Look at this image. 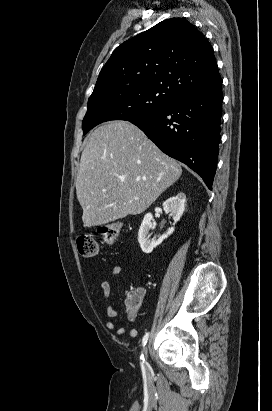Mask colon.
I'll return each instance as SVG.
<instances>
[{"mask_svg":"<svg viewBox=\"0 0 272 411\" xmlns=\"http://www.w3.org/2000/svg\"><path fill=\"white\" fill-rule=\"evenodd\" d=\"M122 225L112 223L103 225L99 228L98 233L105 243L112 244L118 237ZM78 252L83 257H94L98 254V243L93 235L85 234L77 238ZM142 293L139 291L131 292L127 299V306L130 317L133 318L142 303Z\"/></svg>","mask_w":272,"mask_h":411,"instance_id":"obj_1","label":"colon"}]
</instances>
